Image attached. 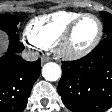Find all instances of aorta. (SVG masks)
Wrapping results in <instances>:
<instances>
[{
  "label": "aorta",
  "mask_w": 112,
  "mask_h": 112,
  "mask_svg": "<svg viewBox=\"0 0 112 112\" xmlns=\"http://www.w3.org/2000/svg\"><path fill=\"white\" fill-rule=\"evenodd\" d=\"M61 67L55 62H48L42 68V76L47 81H57L61 77Z\"/></svg>",
  "instance_id": "1"
}]
</instances>
